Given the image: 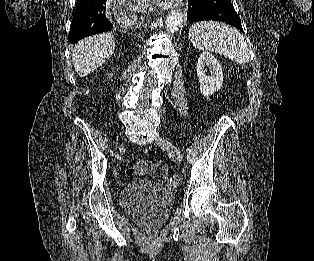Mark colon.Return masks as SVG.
<instances>
[{"label":"colon","instance_id":"colon-1","mask_svg":"<svg viewBox=\"0 0 314 261\" xmlns=\"http://www.w3.org/2000/svg\"><path fill=\"white\" fill-rule=\"evenodd\" d=\"M148 174L159 178H166L167 165L163 161L151 165L149 162L142 160L126 169V175L128 177L144 176Z\"/></svg>","mask_w":314,"mask_h":261}]
</instances>
